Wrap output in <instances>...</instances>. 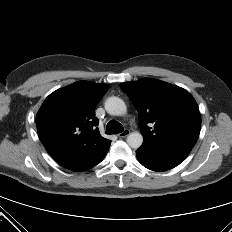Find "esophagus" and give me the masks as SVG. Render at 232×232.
I'll list each match as a JSON object with an SVG mask.
<instances>
[{"instance_id": "esophagus-1", "label": "esophagus", "mask_w": 232, "mask_h": 232, "mask_svg": "<svg viewBox=\"0 0 232 232\" xmlns=\"http://www.w3.org/2000/svg\"><path fill=\"white\" fill-rule=\"evenodd\" d=\"M130 134V130L129 129H125L123 132L119 133L118 136L120 138H125Z\"/></svg>"}]
</instances>
